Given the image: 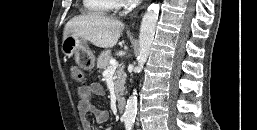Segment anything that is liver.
Listing matches in <instances>:
<instances>
[{
    "label": "liver",
    "instance_id": "1",
    "mask_svg": "<svg viewBox=\"0 0 257 130\" xmlns=\"http://www.w3.org/2000/svg\"><path fill=\"white\" fill-rule=\"evenodd\" d=\"M124 24L112 18L90 13L72 18L67 22L63 37L70 33L90 41L100 48H112L118 42Z\"/></svg>",
    "mask_w": 257,
    "mask_h": 130
}]
</instances>
